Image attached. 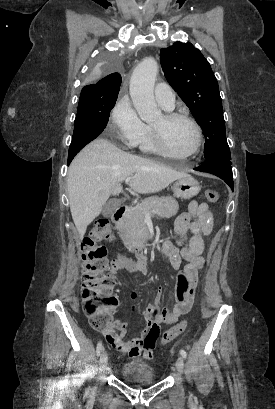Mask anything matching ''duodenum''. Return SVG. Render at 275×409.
Masks as SVG:
<instances>
[{
  "label": "duodenum",
  "mask_w": 275,
  "mask_h": 409,
  "mask_svg": "<svg viewBox=\"0 0 275 409\" xmlns=\"http://www.w3.org/2000/svg\"><path fill=\"white\" fill-rule=\"evenodd\" d=\"M127 211H128V206L121 205L113 214L112 221L115 224H121L126 216ZM149 245H151V242H145V243L139 244L135 247V250L138 252H141L143 249H145Z\"/></svg>",
  "instance_id": "duodenum-1"
}]
</instances>
